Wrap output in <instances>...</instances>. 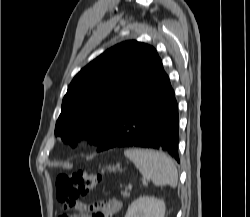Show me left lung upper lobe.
Returning <instances> with one entry per match:
<instances>
[{
    "label": "left lung upper lobe",
    "instance_id": "obj_1",
    "mask_svg": "<svg viewBox=\"0 0 250 217\" xmlns=\"http://www.w3.org/2000/svg\"><path fill=\"white\" fill-rule=\"evenodd\" d=\"M158 57L152 46L126 41L90 62L68 86L55 135L73 147L82 137L98 146Z\"/></svg>",
    "mask_w": 250,
    "mask_h": 217
}]
</instances>
